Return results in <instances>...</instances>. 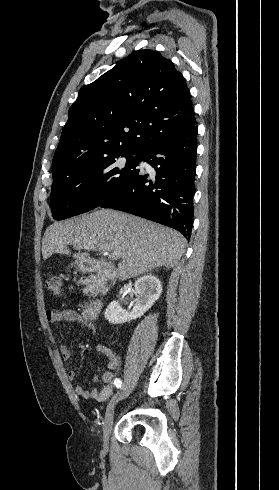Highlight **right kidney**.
<instances>
[{
    "mask_svg": "<svg viewBox=\"0 0 279 490\" xmlns=\"http://www.w3.org/2000/svg\"><path fill=\"white\" fill-rule=\"evenodd\" d=\"M134 290L137 298L131 312L123 310L119 302H111L107 306L104 312V318L110 324H124V322H131V320L141 318L145 312H148L152 308L156 300H159L162 294V284L153 274H145V276L136 280Z\"/></svg>",
    "mask_w": 279,
    "mask_h": 490,
    "instance_id": "ca27d5eb",
    "label": "right kidney"
}]
</instances>
